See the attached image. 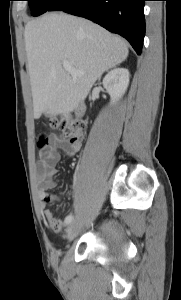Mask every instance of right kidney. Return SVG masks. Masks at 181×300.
Wrapping results in <instances>:
<instances>
[{
    "mask_svg": "<svg viewBox=\"0 0 181 300\" xmlns=\"http://www.w3.org/2000/svg\"><path fill=\"white\" fill-rule=\"evenodd\" d=\"M129 85V71L125 68H115L103 78V86L111 97V103H116L125 94Z\"/></svg>",
    "mask_w": 181,
    "mask_h": 300,
    "instance_id": "right-kidney-1",
    "label": "right kidney"
}]
</instances>
